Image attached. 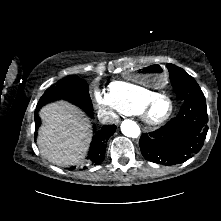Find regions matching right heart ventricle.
Wrapping results in <instances>:
<instances>
[{
  "mask_svg": "<svg viewBox=\"0 0 221 221\" xmlns=\"http://www.w3.org/2000/svg\"><path fill=\"white\" fill-rule=\"evenodd\" d=\"M111 99L123 114H138L143 102L156 92L128 81H113L108 86Z\"/></svg>",
  "mask_w": 221,
  "mask_h": 221,
  "instance_id": "1",
  "label": "right heart ventricle"
}]
</instances>
